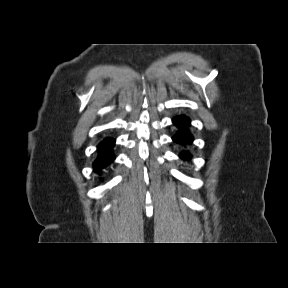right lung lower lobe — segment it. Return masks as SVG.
I'll return each instance as SVG.
<instances>
[{
  "label": "right lung lower lobe",
  "instance_id": "1",
  "mask_svg": "<svg viewBox=\"0 0 288 288\" xmlns=\"http://www.w3.org/2000/svg\"><path fill=\"white\" fill-rule=\"evenodd\" d=\"M115 140L106 138L98 145V157L93 163L94 171L100 174L101 170L106 169L115 159L112 148Z\"/></svg>",
  "mask_w": 288,
  "mask_h": 288
}]
</instances>
